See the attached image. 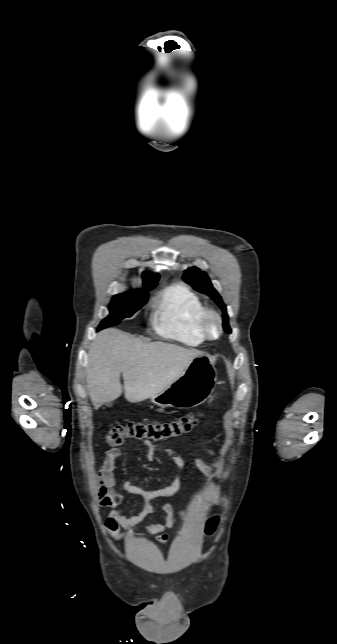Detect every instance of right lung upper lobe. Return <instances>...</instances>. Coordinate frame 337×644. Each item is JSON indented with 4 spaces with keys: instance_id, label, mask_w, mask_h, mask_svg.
I'll return each instance as SVG.
<instances>
[{
    "instance_id": "right-lung-upper-lobe-1",
    "label": "right lung upper lobe",
    "mask_w": 337,
    "mask_h": 644,
    "mask_svg": "<svg viewBox=\"0 0 337 644\" xmlns=\"http://www.w3.org/2000/svg\"><path fill=\"white\" fill-rule=\"evenodd\" d=\"M144 277H145V279H144V288L142 290H145V289H148L150 287H153L157 283V281L159 279L158 274L152 275V274L144 273Z\"/></svg>"
}]
</instances>
